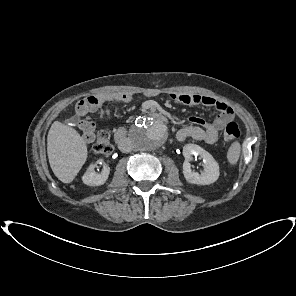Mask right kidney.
<instances>
[{"mask_svg": "<svg viewBox=\"0 0 296 296\" xmlns=\"http://www.w3.org/2000/svg\"><path fill=\"white\" fill-rule=\"evenodd\" d=\"M95 164H91L84 175L82 176V181L84 184L89 186H100L103 185L110 173V168L105 165L101 173L95 172Z\"/></svg>", "mask_w": 296, "mask_h": 296, "instance_id": "right-kidney-1", "label": "right kidney"}]
</instances>
